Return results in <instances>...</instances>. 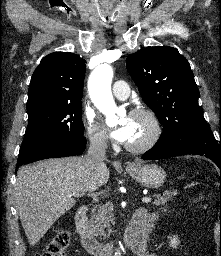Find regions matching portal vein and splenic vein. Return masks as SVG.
Instances as JSON below:
<instances>
[{
  "label": "portal vein and splenic vein",
  "instance_id": "18ae733b",
  "mask_svg": "<svg viewBox=\"0 0 221 256\" xmlns=\"http://www.w3.org/2000/svg\"><path fill=\"white\" fill-rule=\"evenodd\" d=\"M151 200H152L151 197H143V198H142V202H143V203H150Z\"/></svg>",
  "mask_w": 221,
  "mask_h": 256
}]
</instances>
